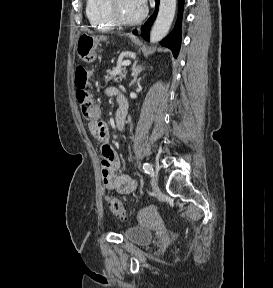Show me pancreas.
Wrapping results in <instances>:
<instances>
[{
	"instance_id": "pancreas-1",
	"label": "pancreas",
	"mask_w": 273,
	"mask_h": 288,
	"mask_svg": "<svg viewBox=\"0 0 273 288\" xmlns=\"http://www.w3.org/2000/svg\"><path fill=\"white\" fill-rule=\"evenodd\" d=\"M126 68L118 65L113 70H107V75L104 77V81L107 83L109 81L120 82L122 78L126 76Z\"/></svg>"
}]
</instances>
